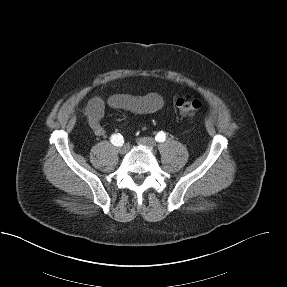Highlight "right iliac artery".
Masks as SVG:
<instances>
[{"label": "right iliac artery", "mask_w": 287, "mask_h": 287, "mask_svg": "<svg viewBox=\"0 0 287 287\" xmlns=\"http://www.w3.org/2000/svg\"><path fill=\"white\" fill-rule=\"evenodd\" d=\"M111 142L115 146H122L124 143V138L121 134H113L111 136Z\"/></svg>", "instance_id": "82829eb1"}]
</instances>
